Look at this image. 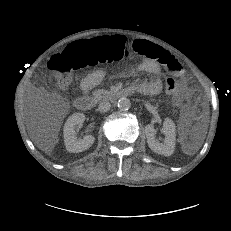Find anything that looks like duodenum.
<instances>
[{"label": "duodenum", "mask_w": 231, "mask_h": 231, "mask_svg": "<svg viewBox=\"0 0 231 231\" xmlns=\"http://www.w3.org/2000/svg\"><path fill=\"white\" fill-rule=\"evenodd\" d=\"M134 91V88L129 86L124 89L114 91L107 95L110 100H118L123 97L130 96ZM96 103V99L90 96H81L76 100V107L82 111H90Z\"/></svg>", "instance_id": "1"}]
</instances>
